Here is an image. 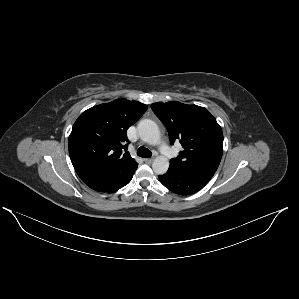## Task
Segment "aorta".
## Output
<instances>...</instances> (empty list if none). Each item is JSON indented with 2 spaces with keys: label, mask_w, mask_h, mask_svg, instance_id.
I'll list each match as a JSON object with an SVG mask.
<instances>
[{
  "label": "aorta",
  "mask_w": 299,
  "mask_h": 299,
  "mask_svg": "<svg viewBox=\"0 0 299 299\" xmlns=\"http://www.w3.org/2000/svg\"><path fill=\"white\" fill-rule=\"evenodd\" d=\"M138 133L140 138L150 145H157L160 143L161 135L159 127L150 119H143L138 123ZM168 168L169 161L164 156L156 157L152 163L153 171L159 175L165 174Z\"/></svg>",
  "instance_id": "aorta-1"
}]
</instances>
